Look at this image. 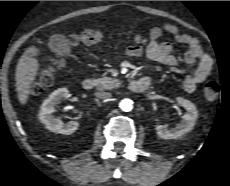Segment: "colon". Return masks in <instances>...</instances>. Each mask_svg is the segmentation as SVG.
Wrapping results in <instances>:
<instances>
[{
  "label": "colon",
  "instance_id": "colon-1",
  "mask_svg": "<svg viewBox=\"0 0 230 186\" xmlns=\"http://www.w3.org/2000/svg\"><path fill=\"white\" fill-rule=\"evenodd\" d=\"M105 39V34L97 29H85L69 38L71 45H93L102 42ZM63 65L61 58L53 59L50 66L38 71L35 81L32 85V93L39 95L44 88L52 83L53 71L55 68H60ZM220 86L218 82L212 80L205 84L203 93L208 102H214L218 98Z\"/></svg>",
  "mask_w": 230,
  "mask_h": 186
}]
</instances>
